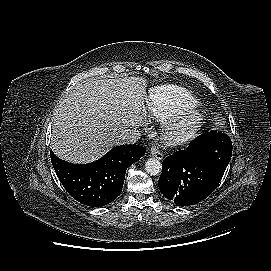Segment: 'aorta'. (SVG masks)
<instances>
[{
    "instance_id": "aorta-1",
    "label": "aorta",
    "mask_w": 271,
    "mask_h": 271,
    "mask_svg": "<svg viewBox=\"0 0 271 271\" xmlns=\"http://www.w3.org/2000/svg\"><path fill=\"white\" fill-rule=\"evenodd\" d=\"M162 165L156 158H150L145 162V170L150 175H158L161 172Z\"/></svg>"
}]
</instances>
